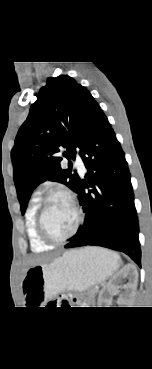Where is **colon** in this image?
Returning <instances> with one entry per match:
<instances>
[{"label": "colon", "instance_id": "obj_1", "mask_svg": "<svg viewBox=\"0 0 152 369\" xmlns=\"http://www.w3.org/2000/svg\"><path fill=\"white\" fill-rule=\"evenodd\" d=\"M71 304V299L69 296L62 295L55 302L52 303L53 306L68 307Z\"/></svg>", "mask_w": 152, "mask_h": 369}]
</instances>
